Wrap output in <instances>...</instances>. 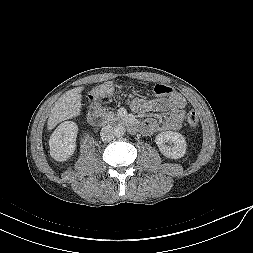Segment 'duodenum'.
I'll use <instances>...</instances> for the list:
<instances>
[{
  "instance_id": "410a0bca",
  "label": "duodenum",
  "mask_w": 253,
  "mask_h": 253,
  "mask_svg": "<svg viewBox=\"0 0 253 253\" xmlns=\"http://www.w3.org/2000/svg\"><path fill=\"white\" fill-rule=\"evenodd\" d=\"M88 121L92 126H99L104 121V116L102 108L98 104H93L90 107L88 113ZM123 124H125L132 132H136L139 129L138 124L131 119H123Z\"/></svg>"
}]
</instances>
